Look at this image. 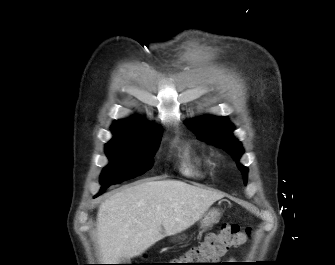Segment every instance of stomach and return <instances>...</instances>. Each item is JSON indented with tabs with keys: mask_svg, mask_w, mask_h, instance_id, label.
I'll return each mask as SVG.
<instances>
[{
	"mask_svg": "<svg viewBox=\"0 0 335 265\" xmlns=\"http://www.w3.org/2000/svg\"><path fill=\"white\" fill-rule=\"evenodd\" d=\"M221 216V212L219 209L213 208L208 212L204 213L200 218L201 228H208L216 224ZM180 239V236L174 237L173 240Z\"/></svg>",
	"mask_w": 335,
	"mask_h": 265,
	"instance_id": "0dacf381",
	"label": "stomach"
}]
</instances>
